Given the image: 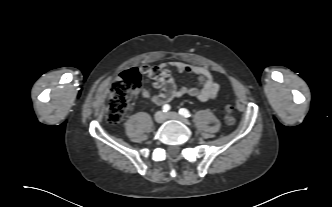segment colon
Instances as JSON below:
<instances>
[{"instance_id": "obj_1", "label": "colon", "mask_w": 332, "mask_h": 207, "mask_svg": "<svg viewBox=\"0 0 332 207\" xmlns=\"http://www.w3.org/2000/svg\"><path fill=\"white\" fill-rule=\"evenodd\" d=\"M141 90L140 73L131 68L120 74L112 83L106 118L110 123H118L125 116L130 100ZM233 106L228 104L225 108V122L232 126L235 123Z\"/></svg>"}]
</instances>
